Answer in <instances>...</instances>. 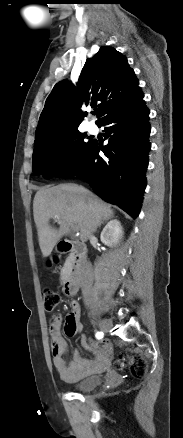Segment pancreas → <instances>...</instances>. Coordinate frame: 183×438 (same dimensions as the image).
I'll return each instance as SVG.
<instances>
[{"instance_id": "cf45deb5", "label": "pancreas", "mask_w": 183, "mask_h": 438, "mask_svg": "<svg viewBox=\"0 0 183 438\" xmlns=\"http://www.w3.org/2000/svg\"><path fill=\"white\" fill-rule=\"evenodd\" d=\"M69 270L67 266H65L61 271V280H64L66 278V272Z\"/></svg>"}]
</instances>
